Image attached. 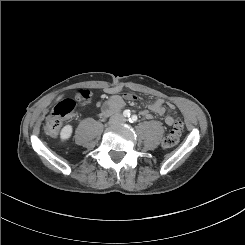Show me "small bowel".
I'll list each match as a JSON object with an SVG mask.
<instances>
[{
    "label": "small bowel",
    "instance_id": "c3829d8e",
    "mask_svg": "<svg viewBox=\"0 0 245 245\" xmlns=\"http://www.w3.org/2000/svg\"><path fill=\"white\" fill-rule=\"evenodd\" d=\"M116 91H117V88H112V89L108 90L109 93H115ZM124 99L126 101H129V102H134L137 100V97L134 94L127 93V94H125ZM124 99L119 95L113 94L103 104L102 115L107 116V115L111 114L112 112L121 109L124 105ZM168 106L170 108L174 107L173 104H171V103H168ZM165 112H166V108L164 105V101L162 99H155L148 104V109L143 110L141 112V114L145 118L151 119L154 114L162 116L165 114ZM165 123L167 125L171 126L175 123V120L170 115H167V116H165Z\"/></svg>",
    "mask_w": 245,
    "mask_h": 245
}]
</instances>
